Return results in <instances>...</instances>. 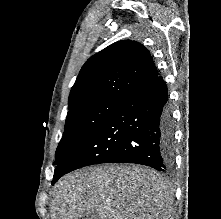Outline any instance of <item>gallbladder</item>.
<instances>
[{"instance_id":"obj_1","label":"gallbladder","mask_w":221,"mask_h":219,"mask_svg":"<svg viewBox=\"0 0 221 219\" xmlns=\"http://www.w3.org/2000/svg\"><path fill=\"white\" fill-rule=\"evenodd\" d=\"M79 219H98V213L95 210L85 211Z\"/></svg>"}]
</instances>
